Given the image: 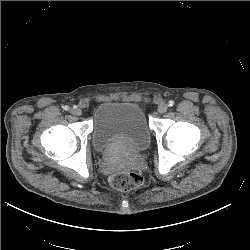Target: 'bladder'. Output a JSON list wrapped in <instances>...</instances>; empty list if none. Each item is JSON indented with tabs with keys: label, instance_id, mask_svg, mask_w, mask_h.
<instances>
[{
	"label": "bladder",
	"instance_id": "31cf9c89",
	"mask_svg": "<svg viewBox=\"0 0 250 250\" xmlns=\"http://www.w3.org/2000/svg\"><path fill=\"white\" fill-rule=\"evenodd\" d=\"M91 141L99 153L139 152L150 145L151 131L137 104L106 101L93 111Z\"/></svg>",
	"mask_w": 250,
	"mask_h": 250
}]
</instances>
